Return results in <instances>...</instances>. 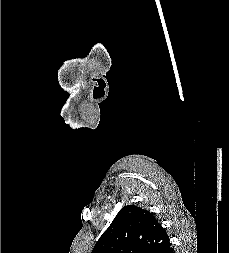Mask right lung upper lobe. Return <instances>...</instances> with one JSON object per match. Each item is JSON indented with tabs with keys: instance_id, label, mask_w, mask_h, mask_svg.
I'll use <instances>...</instances> for the list:
<instances>
[{
	"instance_id": "cb5924a9",
	"label": "right lung upper lobe",
	"mask_w": 229,
	"mask_h": 253,
	"mask_svg": "<svg viewBox=\"0 0 229 253\" xmlns=\"http://www.w3.org/2000/svg\"><path fill=\"white\" fill-rule=\"evenodd\" d=\"M170 244L165 229L147 210L123 207L92 253H161Z\"/></svg>"
}]
</instances>
